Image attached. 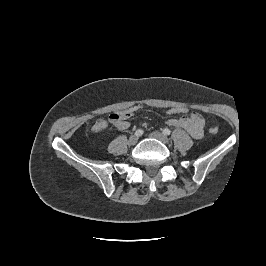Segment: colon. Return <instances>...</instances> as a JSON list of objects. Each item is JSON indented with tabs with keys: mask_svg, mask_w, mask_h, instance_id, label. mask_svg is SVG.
<instances>
[{
	"mask_svg": "<svg viewBox=\"0 0 266 266\" xmlns=\"http://www.w3.org/2000/svg\"><path fill=\"white\" fill-rule=\"evenodd\" d=\"M139 106H133L124 111L113 112L109 115V121L116 125L123 120H127L131 118L137 111H139ZM165 113L168 115H186L188 113V109L184 106H173L169 107L165 110ZM209 132L212 134H216L218 132V127H210Z\"/></svg>",
	"mask_w": 266,
	"mask_h": 266,
	"instance_id": "1",
	"label": "colon"
}]
</instances>
